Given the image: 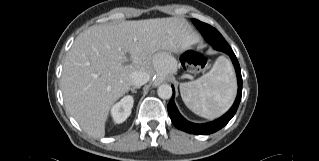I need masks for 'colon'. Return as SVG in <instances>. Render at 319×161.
Returning a JSON list of instances; mask_svg holds the SVG:
<instances>
[{"label":"colon","mask_w":319,"mask_h":161,"mask_svg":"<svg viewBox=\"0 0 319 161\" xmlns=\"http://www.w3.org/2000/svg\"><path fill=\"white\" fill-rule=\"evenodd\" d=\"M207 62V57L195 49L186 50L181 55L182 66L190 73L201 70L206 66Z\"/></svg>","instance_id":"5ec220e1"}]
</instances>
